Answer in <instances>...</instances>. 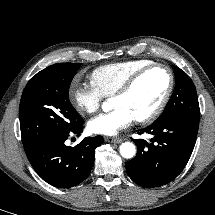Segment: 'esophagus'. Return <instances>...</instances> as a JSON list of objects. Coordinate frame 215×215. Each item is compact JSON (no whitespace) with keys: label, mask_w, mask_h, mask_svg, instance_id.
Returning a JSON list of instances; mask_svg holds the SVG:
<instances>
[{"label":"esophagus","mask_w":215,"mask_h":215,"mask_svg":"<svg viewBox=\"0 0 215 215\" xmlns=\"http://www.w3.org/2000/svg\"><path fill=\"white\" fill-rule=\"evenodd\" d=\"M105 141L109 143H121L122 139L116 137H105Z\"/></svg>","instance_id":"34e87169"}]
</instances>
